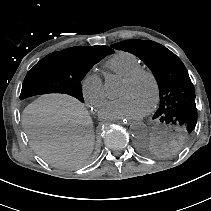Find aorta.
<instances>
[{
	"label": "aorta",
	"instance_id": "762f6f07",
	"mask_svg": "<svg viewBox=\"0 0 211 211\" xmlns=\"http://www.w3.org/2000/svg\"><path fill=\"white\" fill-rule=\"evenodd\" d=\"M123 90L122 82L116 77H109L104 84V92L108 98H116ZM132 136L137 139H142L147 135V127L141 121H135L130 125Z\"/></svg>",
	"mask_w": 211,
	"mask_h": 211
}]
</instances>
